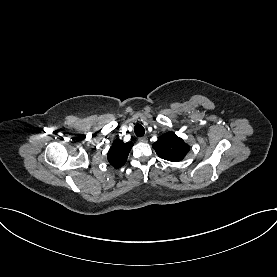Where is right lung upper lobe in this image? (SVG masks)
Listing matches in <instances>:
<instances>
[{
    "label": "right lung upper lobe",
    "instance_id": "cb5924a9",
    "mask_svg": "<svg viewBox=\"0 0 277 277\" xmlns=\"http://www.w3.org/2000/svg\"><path fill=\"white\" fill-rule=\"evenodd\" d=\"M131 142L124 143L122 140H115L108 151V161L116 169L122 167L132 148Z\"/></svg>",
    "mask_w": 277,
    "mask_h": 277
}]
</instances>
